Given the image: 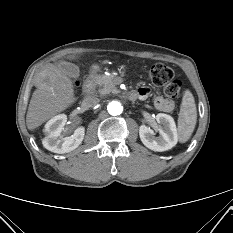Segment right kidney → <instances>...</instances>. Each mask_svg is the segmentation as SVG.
<instances>
[{
    "instance_id": "right-kidney-1",
    "label": "right kidney",
    "mask_w": 233,
    "mask_h": 233,
    "mask_svg": "<svg viewBox=\"0 0 233 233\" xmlns=\"http://www.w3.org/2000/svg\"><path fill=\"white\" fill-rule=\"evenodd\" d=\"M67 116L59 114L51 118L45 125V138L43 146L54 153L64 154L76 149L83 141L85 128L78 127L70 137H63L61 133L65 129Z\"/></svg>"
}]
</instances>
